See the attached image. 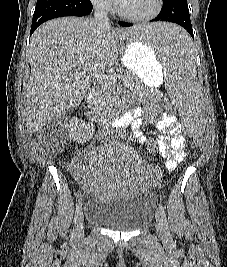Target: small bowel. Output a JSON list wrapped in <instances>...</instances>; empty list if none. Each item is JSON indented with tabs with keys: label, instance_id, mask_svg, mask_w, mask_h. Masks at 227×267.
Instances as JSON below:
<instances>
[{
	"label": "small bowel",
	"instance_id": "1",
	"mask_svg": "<svg viewBox=\"0 0 227 267\" xmlns=\"http://www.w3.org/2000/svg\"><path fill=\"white\" fill-rule=\"evenodd\" d=\"M144 120L155 124L162 134L153 138L144 133L141 128ZM112 127L116 132L128 131L133 142L148 156L164 158V166L168 171L177 168L181 155L185 153L186 139L182 134V125L176 116H167V112H162L157 102L150 101L143 110L136 109L116 117ZM68 170L81 184H87L90 169L82 158L72 160Z\"/></svg>",
	"mask_w": 227,
	"mask_h": 267
}]
</instances>
